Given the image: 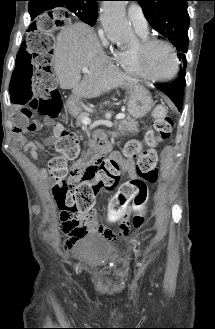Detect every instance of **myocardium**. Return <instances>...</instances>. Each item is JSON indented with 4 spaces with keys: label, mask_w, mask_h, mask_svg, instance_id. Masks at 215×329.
Returning a JSON list of instances; mask_svg holds the SVG:
<instances>
[{
    "label": "myocardium",
    "mask_w": 215,
    "mask_h": 329,
    "mask_svg": "<svg viewBox=\"0 0 215 329\" xmlns=\"http://www.w3.org/2000/svg\"><path fill=\"white\" fill-rule=\"evenodd\" d=\"M158 44L167 46L170 49V51L174 57V60H175V67H174L173 72L169 76H166V77L154 76V75L150 74L146 68L148 55H149L151 49ZM136 63H137V67H138L140 74L144 78H147L151 81H157V82H164V81H169V80L173 79L178 74L179 69H180V59H179L175 46L170 41L162 39V38H148L146 40L141 41V43L137 46V49H136Z\"/></svg>",
    "instance_id": "myocardium-1"
}]
</instances>
